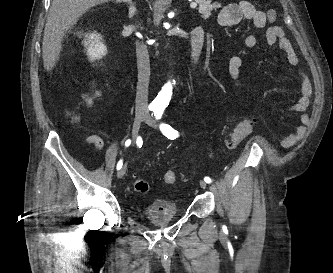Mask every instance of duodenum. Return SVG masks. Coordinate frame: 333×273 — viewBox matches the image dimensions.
<instances>
[{
    "label": "duodenum",
    "instance_id": "duodenum-1",
    "mask_svg": "<svg viewBox=\"0 0 333 273\" xmlns=\"http://www.w3.org/2000/svg\"><path fill=\"white\" fill-rule=\"evenodd\" d=\"M204 43V31L201 27H196L193 29L190 40V59L191 65L196 67L199 59L201 50Z\"/></svg>",
    "mask_w": 333,
    "mask_h": 273
}]
</instances>
